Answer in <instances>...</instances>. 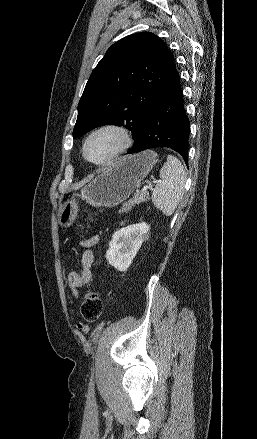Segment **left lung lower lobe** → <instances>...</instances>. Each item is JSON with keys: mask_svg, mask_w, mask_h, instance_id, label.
Segmentation results:
<instances>
[{"mask_svg": "<svg viewBox=\"0 0 257 439\" xmlns=\"http://www.w3.org/2000/svg\"><path fill=\"white\" fill-rule=\"evenodd\" d=\"M190 122L183 106L180 77H172L155 98L140 124V138L127 154L160 147L178 152L188 165Z\"/></svg>", "mask_w": 257, "mask_h": 439, "instance_id": "obj_1", "label": "left lung lower lobe"}]
</instances>
